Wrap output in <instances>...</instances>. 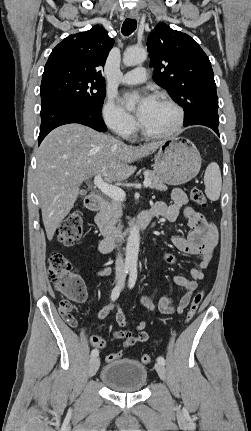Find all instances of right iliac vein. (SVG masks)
<instances>
[{
	"instance_id": "63e3f726",
	"label": "right iliac vein",
	"mask_w": 251,
	"mask_h": 431,
	"mask_svg": "<svg viewBox=\"0 0 251 431\" xmlns=\"http://www.w3.org/2000/svg\"><path fill=\"white\" fill-rule=\"evenodd\" d=\"M100 365V359L99 357H93L91 358L90 362H89V368H88V375L89 377H92L96 374L98 368Z\"/></svg>"
}]
</instances>
